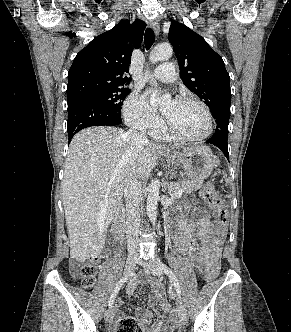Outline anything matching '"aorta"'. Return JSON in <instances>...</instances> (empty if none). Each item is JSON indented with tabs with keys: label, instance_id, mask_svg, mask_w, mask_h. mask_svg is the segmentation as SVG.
Wrapping results in <instances>:
<instances>
[{
	"label": "aorta",
	"instance_id": "obj_1",
	"mask_svg": "<svg viewBox=\"0 0 291 332\" xmlns=\"http://www.w3.org/2000/svg\"><path fill=\"white\" fill-rule=\"evenodd\" d=\"M173 49L169 44H160L154 47L151 51L149 60L151 63H157L158 61H165L172 57ZM169 98V95H152L150 99L151 105H159L163 103L166 99ZM159 189L160 182L159 180H154L149 186L148 189V198H147V215L152 222L153 226L157 218V205L159 200Z\"/></svg>",
	"mask_w": 291,
	"mask_h": 332
}]
</instances>
